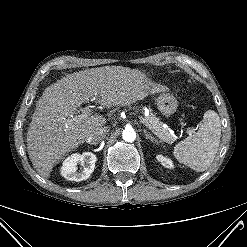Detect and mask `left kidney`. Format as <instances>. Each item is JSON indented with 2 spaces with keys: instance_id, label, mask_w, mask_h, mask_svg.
Instances as JSON below:
<instances>
[{
  "instance_id": "1",
  "label": "left kidney",
  "mask_w": 247,
  "mask_h": 247,
  "mask_svg": "<svg viewBox=\"0 0 247 247\" xmlns=\"http://www.w3.org/2000/svg\"><path fill=\"white\" fill-rule=\"evenodd\" d=\"M156 159L161 162V164L166 168H173L174 165L172 163V160L169 158L164 157L163 155L159 154L156 156Z\"/></svg>"
}]
</instances>
